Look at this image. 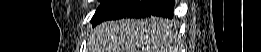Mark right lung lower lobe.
<instances>
[{"instance_id": "right-lung-lower-lobe-1", "label": "right lung lower lobe", "mask_w": 261, "mask_h": 52, "mask_svg": "<svg viewBox=\"0 0 261 52\" xmlns=\"http://www.w3.org/2000/svg\"><path fill=\"white\" fill-rule=\"evenodd\" d=\"M174 0H107L100 5L92 24L119 18L159 16L173 18Z\"/></svg>"}]
</instances>
